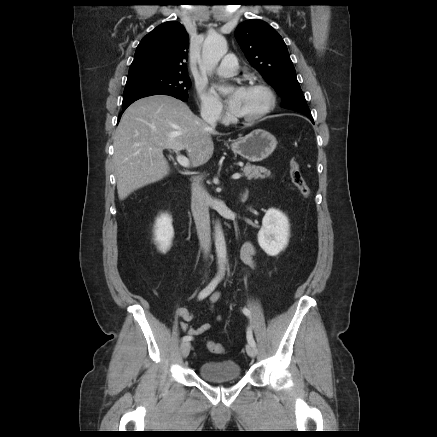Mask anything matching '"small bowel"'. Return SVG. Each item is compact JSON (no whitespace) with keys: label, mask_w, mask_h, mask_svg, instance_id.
<instances>
[{"label":"small bowel","mask_w":437,"mask_h":437,"mask_svg":"<svg viewBox=\"0 0 437 437\" xmlns=\"http://www.w3.org/2000/svg\"><path fill=\"white\" fill-rule=\"evenodd\" d=\"M255 247L251 242H246L243 244L241 248V258L246 265L252 266L254 264V256H255ZM220 293H214L209 301L211 310L214 309L215 303L220 299ZM176 315L182 319L180 322V328L187 332L189 336H198L203 334L204 332L211 329V324L204 323L199 327H194L191 325V322L195 319V316L188 311V309L184 307H180L176 310ZM221 316L217 317V320H220Z\"/></svg>","instance_id":"c3829d8e"}]
</instances>
